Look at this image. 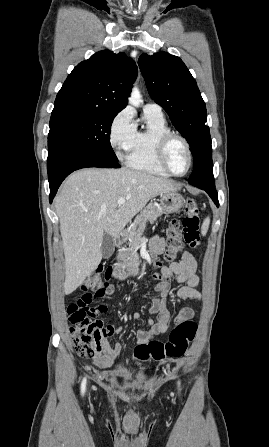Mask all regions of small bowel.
Wrapping results in <instances>:
<instances>
[{
	"mask_svg": "<svg viewBox=\"0 0 269 447\" xmlns=\"http://www.w3.org/2000/svg\"><path fill=\"white\" fill-rule=\"evenodd\" d=\"M165 244L162 237L156 235L151 240V250L154 254H161L164 251ZM111 272H114L111 270ZM158 283L155 290L158 296L152 300L149 308L150 313L158 314L156 320L147 318L142 312H135L133 318L137 321L145 320L147 329H141L137 332V340L139 343H146L160 334L167 332L172 318V313L167 305V299L172 282L184 283L180 287L175 296L180 300L201 298V293L195 288L199 283L197 275V262L194 256L184 251L180 262L163 266L156 276ZM194 317V311L191 308L182 309L177 315V320L191 319ZM121 345L119 343L111 345L104 341L103 352L93 358V362L101 368H109L118 358Z\"/></svg>",
	"mask_w": 269,
	"mask_h": 447,
	"instance_id": "obj_1",
	"label": "small bowel"
}]
</instances>
